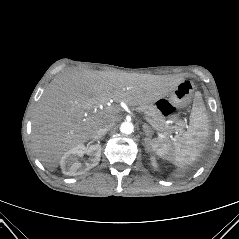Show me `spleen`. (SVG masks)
Returning a JSON list of instances; mask_svg holds the SVG:
<instances>
[{
    "label": "spleen",
    "instance_id": "obj_1",
    "mask_svg": "<svg viewBox=\"0 0 239 239\" xmlns=\"http://www.w3.org/2000/svg\"><path fill=\"white\" fill-rule=\"evenodd\" d=\"M208 136V116L199 94L193 102L189 126L172 141L156 138L150 146L156 154L179 168L192 164L202 152Z\"/></svg>",
    "mask_w": 239,
    "mask_h": 239
}]
</instances>
